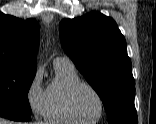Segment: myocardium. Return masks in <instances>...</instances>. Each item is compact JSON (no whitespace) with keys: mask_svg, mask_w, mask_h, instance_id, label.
Listing matches in <instances>:
<instances>
[{"mask_svg":"<svg viewBox=\"0 0 156 124\" xmlns=\"http://www.w3.org/2000/svg\"><path fill=\"white\" fill-rule=\"evenodd\" d=\"M82 88H87V89L91 90L98 97V99L100 101V104H101L100 114L93 120L85 119L79 113V111L76 107V96ZM67 102H68L69 109H70L71 113L74 115V117H76L79 121H81L83 123L98 122L103 117V115L105 113V109H106L105 99H104L103 95L99 92V90H97L93 85L86 83V82H82V81L74 84L70 88V90L68 92V96H67Z\"/></svg>","mask_w":156,"mask_h":124,"instance_id":"1","label":"myocardium"}]
</instances>
